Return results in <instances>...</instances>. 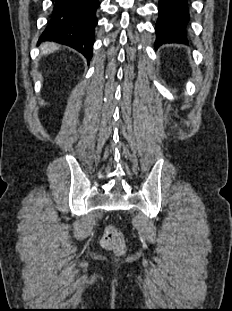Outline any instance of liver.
I'll use <instances>...</instances> for the list:
<instances>
[{
	"mask_svg": "<svg viewBox=\"0 0 232 311\" xmlns=\"http://www.w3.org/2000/svg\"><path fill=\"white\" fill-rule=\"evenodd\" d=\"M57 49H59V46L54 43H44L41 45V50H42L43 55L52 53Z\"/></svg>",
	"mask_w": 232,
	"mask_h": 311,
	"instance_id": "obj_1",
	"label": "liver"
}]
</instances>
